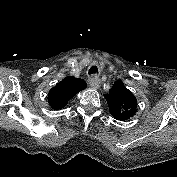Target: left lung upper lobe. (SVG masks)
I'll use <instances>...</instances> for the list:
<instances>
[{
    "mask_svg": "<svg viewBox=\"0 0 177 177\" xmlns=\"http://www.w3.org/2000/svg\"><path fill=\"white\" fill-rule=\"evenodd\" d=\"M104 97L115 119L124 121L135 115L137 100L132 92L124 87L122 81H115L109 93Z\"/></svg>",
    "mask_w": 177,
    "mask_h": 177,
    "instance_id": "obj_1",
    "label": "left lung upper lobe"
}]
</instances>
